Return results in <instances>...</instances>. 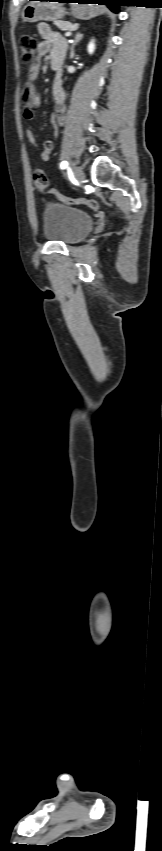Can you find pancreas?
Returning a JSON list of instances; mask_svg holds the SVG:
<instances>
[{
	"label": "pancreas",
	"instance_id": "obj_1",
	"mask_svg": "<svg viewBox=\"0 0 162 851\" xmlns=\"http://www.w3.org/2000/svg\"><path fill=\"white\" fill-rule=\"evenodd\" d=\"M54 24H55V25H56V26H57V27H58L61 31H71V30H73V29H75V28H77V27H78V24H72V23H70V22H68V21H59V20H58V21H55V22H54Z\"/></svg>",
	"mask_w": 162,
	"mask_h": 851
}]
</instances>
